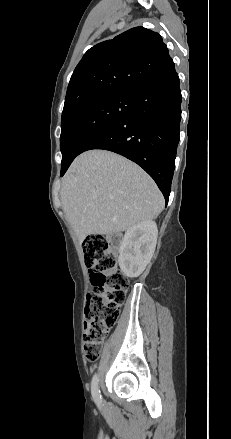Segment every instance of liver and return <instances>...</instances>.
<instances>
[{
  "label": "liver",
  "mask_w": 231,
  "mask_h": 439,
  "mask_svg": "<svg viewBox=\"0 0 231 439\" xmlns=\"http://www.w3.org/2000/svg\"><path fill=\"white\" fill-rule=\"evenodd\" d=\"M61 201L79 241L91 234L120 233L152 221L165 204L147 173L105 150L76 157L62 180Z\"/></svg>",
  "instance_id": "liver-1"
}]
</instances>
